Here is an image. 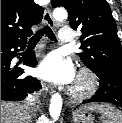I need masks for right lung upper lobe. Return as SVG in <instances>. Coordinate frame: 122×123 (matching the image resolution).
<instances>
[{"instance_id":"1","label":"right lung upper lobe","mask_w":122,"mask_h":123,"mask_svg":"<svg viewBox=\"0 0 122 123\" xmlns=\"http://www.w3.org/2000/svg\"><path fill=\"white\" fill-rule=\"evenodd\" d=\"M42 17L41 7L33 0H1V43L27 42L31 27Z\"/></svg>"}]
</instances>
